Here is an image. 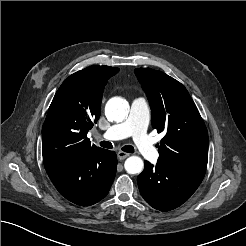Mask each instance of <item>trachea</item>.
Returning a JSON list of instances; mask_svg holds the SVG:
<instances>
[{
    "label": "trachea",
    "instance_id": "trachea-1",
    "mask_svg": "<svg viewBox=\"0 0 246 246\" xmlns=\"http://www.w3.org/2000/svg\"><path fill=\"white\" fill-rule=\"evenodd\" d=\"M100 146L101 147H104V148H107V149L113 148V145L110 142H108V141H102V142H100ZM122 150L124 152H127V153H133L135 151L134 150V147H132L130 145L122 147Z\"/></svg>",
    "mask_w": 246,
    "mask_h": 246
}]
</instances>
